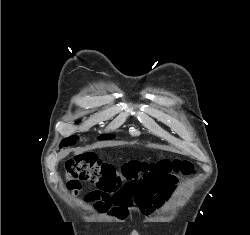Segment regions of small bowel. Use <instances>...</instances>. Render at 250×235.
Returning a JSON list of instances; mask_svg holds the SVG:
<instances>
[{
    "label": "small bowel",
    "instance_id": "c3829d8e",
    "mask_svg": "<svg viewBox=\"0 0 250 235\" xmlns=\"http://www.w3.org/2000/svg\"><path fill=\"white\" fill-rule=\"evenodd\" d=\"M173 194V186L140 190L133 198L134 205L146 216H152L155 211L164 205Z\"/></svg>",
    "mask_w": 250,
    "mask_h": 235
}]
</instances>
